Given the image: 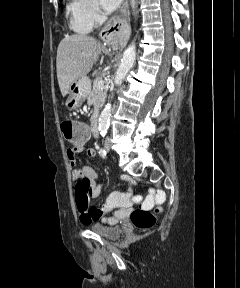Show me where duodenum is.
<instances>
[{
  "label": "duodenum",
  "instance_id": "obj_1",
  "mask_svg": "<svg viewBox=\"0 0 240 288\" xmlns=\"http://www.w3.org/2000/svg\"><path fill=\"white\" fill-rule=\"evenodd\" d=\"M92 133L97 137L99 135V113L95 112L91 118Z\"/></svg>",
  "mask_w": 240,
  "mask_h": 288
}]
</instances>
